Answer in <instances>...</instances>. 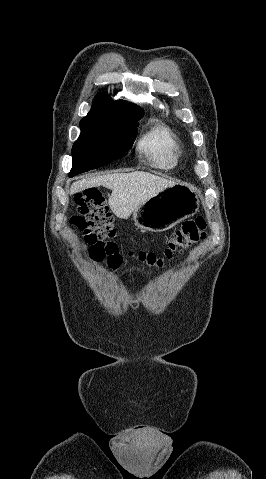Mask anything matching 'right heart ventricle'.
Segmentation results:
<instances>
[{"label": "right heart ventricle", "mask_w": 266, "mask_h": 479, "mask_svg": "<svg viewBox=\"0 0 266 479\" xmlns=\"http://www.w3.org/2000/svg\"><path fill=\"white\" fill-rule=\"evenodd\" d=\"M140 149L152 164L161 169H171L177 163L178 141L165 127H155L140 141Z\"/></svg>", "instance_id": "e07e8e85"}]
</instances>
